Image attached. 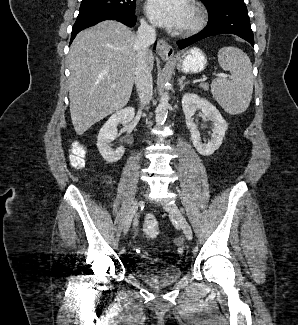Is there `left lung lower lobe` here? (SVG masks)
Returning a JSON list of instances; mask_svg holds the SVG:
<instances>
[{
  "instance_id": "obj_1",
  "label": "left lung lower lobe",
  "mask_w": 298,
  "mask_h": 325,
  "mask_svg": "<svg viewBox=\"0 0 298 325\" xmlns=\"http://www.w3.org/2000/svg\"><path fill=\"white\" fill-rule=\"evenodd\" d=\"M218 34H235L254 46L250 18L244 0H234L210 11L208 25L198 34L177 41V45L179 49H183L201 39Z\"/></svg>"
}]
</instances>
